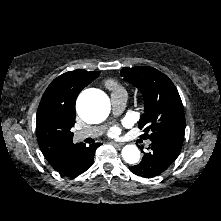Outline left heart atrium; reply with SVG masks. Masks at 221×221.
<instances>
[{
    "mask_svg": "<svg viewBox=\"0 0 221 221\" xmlns=\"http://www.w3.org/2000/svg\"><path fill=\"white\" fill-rule=\"evenodd\" d=\"M120 133H121V129L119 127H113L110 130V135L113 136V137L118 136Z\"/></svg>",
    "mask_w": 221,
    "mask_h": 221,
    "instance_id": "39dd6f15",
    "label": "left heart atrium"
}]
</instances>
